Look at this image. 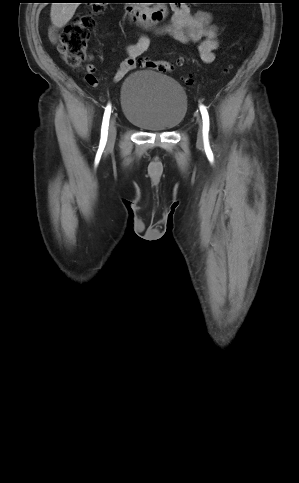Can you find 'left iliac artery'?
Masks as SVG:
<instances>
[{"mask_svg": "<svg viewBox=\"0 0 299 483\" xmlns=\"http://www.w3.org/2000/svg\"><path fill=\"white\" fill-rule=\"evenodd\" d=\"M200 111L203 119V134L207 137L209 132V115L204 105H200Z\"/></svg>", "mask_w": 299, "mask_h": 483, "instance_id": "44dca946", "label": "left iliac artery"}]
</instances>
